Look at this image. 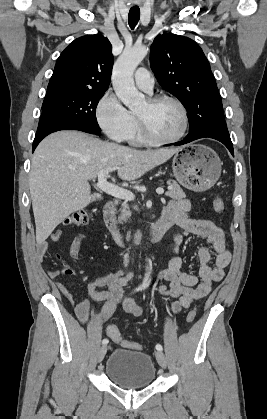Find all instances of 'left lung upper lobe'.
Returning a JSON list of instances; mask_svg holds the SVG:
<instances>
[{"label":"left lung upper lobe","mask_w":267,"mask_h":419,"mask_svg":"<svg viewBox=\"0 0 267 419\" xmlns=\"http://www.w3.org/2000/svg\"><path fill=\"white\" fill-rule=\"evenodd\" d=\"M150 62L159 84L187 110L190 126L200 118H210L213 133L227 130L209 61L195 41L175 34L158 35L151 45Z\"/></svg>","instance_id":"left-lung-upper-lobe-1"}]
</instances>
